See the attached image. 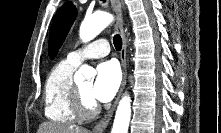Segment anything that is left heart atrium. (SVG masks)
<instances>
[{
    "instance_id": "left-heart-atrium-1",
    "label": "left heart atrium",
    "mask_w": 221,
    "mask_h": 133,
    "mask_svg": "<svg viewBox=\"0 0 221 133\" xmlns=\"http://www.w3.org/2000/svg\"><path fill=\"white\" fill-rule=\"evenodd\" d=\"M120 70L114 61H105L97 66L96 79L91 88V98L108 102L116 94L120 85Z\"/></svg>"
}]
</instances>
